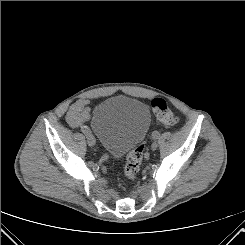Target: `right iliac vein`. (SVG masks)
Returning <instances> with one entry per match:
<instances>
[{
	"label": "right iliac vein",
	"instance_id": "right-iliac-vein-1",
	"mask_svg": "<svg viewBox=\"0 0 245 245\" xmlns=\"http://www.w3.org/2000/svg\"><path fill=\"white\" fill-rule=\"evenodd\" d=\"M86 137H87L88 145L90 147H93L96 144V140H95L94 136L92 134H89Z\"/></svg>",
	"mask_w": 245,
	"mask_h": 245
}]
</instances>
